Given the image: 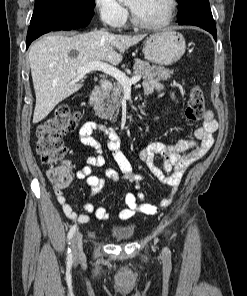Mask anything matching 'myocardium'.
Listing matches in <instances>:
<instances>
[{"label": "myocardium", "mask_w": 247, "mask_h": 296, "mask_svg": "<svg viewBox=\"0 0 247 296\" xmlns=\"http://www.w3.org/2000/svg\"><path fill=\"white\" fill-rule=\"evenodd\" d=\"M166 2L168 5V11H167L166 17L162 21L154 24L141 22L136 17L133 10L129 7L130 19L132 24L140 29H145V30H159V29L165 28L172 22L176 12V0H166Z\"/></svg>", "instance_id": "f54148a6"}]
</instances>
